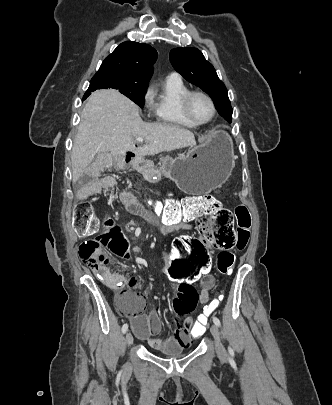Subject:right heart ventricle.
<instances>
[{
	"label": "right heart ventricle",
	"mask_w": 332,
	"mask_h": 405,
	"mask_svg": "<svg viewBox=\"0 0 332 405\" xmlns=\"http://www.w3.org/2000/svg\"><path fill=\"white\" fill-rule=\"evenodd\" d=\"M189 91L179 78L168 77L163 84L151 92V114L158 122L193 128L181 111V99Z\"/></svg>",
	"instance_id": "obj_1"
}]
</instances>
